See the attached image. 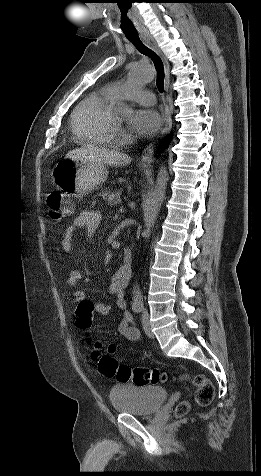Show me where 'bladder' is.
Returning <instances> with one entry per match:
<instances>
[{
	"mask_svg": "<svg viewBox=\"0 0 261 476\" xmlns=\"http://www.w3.org/2000/svg\"><path fill=\"white\" fill-rule=\"evenodd\" d=\"M109 397L114 409L120 413L149 416L161 408L167 392L157 385L122 383L110 390Z\"/></svg>",
	"mask_w": 261,
	"mask_h": 476,
	"instance_id": "1",
	"label": "bladder"
}]
</instances>
